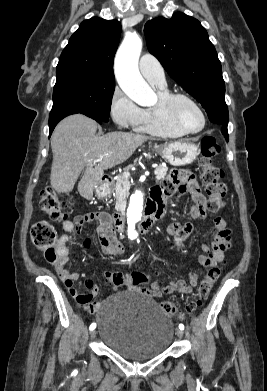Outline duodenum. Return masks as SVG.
Instances as JSON below:
<instances>
[{
  "instance_id": "obj_1",
  "label": "duodenum",
  "mask_w": 267,
  "mask_h": 391,
  "mask_svg": "<svg viewBox=\"0 0 267 391\" xmlns=\"http://www.w3.org/2000/svg\"><path fill=\"white\" fill-rule=\"evenodd\" d=\"M107 181H108L107 178L103 177L100 181V186H104L107 183ZM158 216L159 215H158V211H157L156 207L152 204L149 205L145 216L140 221V224H139L140 230L144 233L149 232L154 225L155 218H158ZM112 224H113V228L117 232L124 231V229H125V216L122 211H117L113 215Z\"/></svg>"
}]
</instances>
